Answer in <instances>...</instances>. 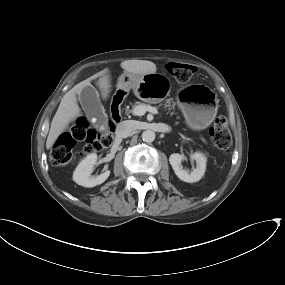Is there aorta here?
Masks as SVG:
<instances>
[{"label":"aorta","mask_w":285,"mask_h":285,"mask_svg":"<svg viewBox=\"0 0 285 285\" xmlns=\"http://www.w3.org/2000/svg\"><path fill=\"white\" fill-rule=\"evenodd\" d=\"M155 132L152 131V130H145L141 137H142V140L146 143H151L155 140Z\"/></svg>","instance_id":"1"}]
</instances>
